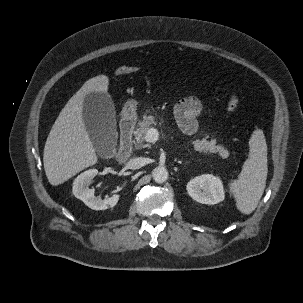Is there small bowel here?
<instances>
[{"label": "small bowel", "instance_id": "c3829d8e", "mask_svg": "<svg viewBox=\"0 0 303 303\" xmlns=\"http://www.w3.org/2000/svg\"><path fill=\"white\" fill-rule=\"evenodd\" d=\"M203 112L202 103L195 97H187L179 101L174 109L175 118L181 130L193 135L198 130V117Z\"/></svg>", "mask_w": 303, "mask_h": 303}]
</instances>
